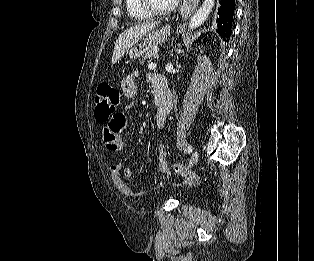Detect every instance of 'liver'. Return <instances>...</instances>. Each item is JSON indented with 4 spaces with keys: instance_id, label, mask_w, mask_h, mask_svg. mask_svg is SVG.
Returning <instances> with one entry per match:
<instances>
[{
    "instance_id": "1",
    "label": "liver",
    "mask_w": 314,
    "mask_h": 261,
    "mask_svg": "<svg viewBox=\"0 0 314 261\" xmlns=\"http://www.w3.org/2000/svg\"><path fill=\"white\" fill-rule=\"evenodd\" d=\"M159 22H147L141 25L131 27L124 32H122L114 47L112 55V64H115L118 59H120L126 51H128L134 44H136L140 39L152 31Z\"/></svg>"
}]
</instances>
